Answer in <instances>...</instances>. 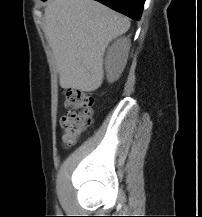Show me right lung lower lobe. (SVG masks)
Returning a JSON list of instances; mask_svg holds the SVG:
<instances>
[{
    "label": "right lung lower lobe",
    "mask_w": 202,
    "mask_h": 217,
    "mask_svg": "<svg viewBox=\"0 0 202 217\" xmlns=\"http://www.w3.org/2000/svg\"><path fill=\"white\" fill-rule=\"evenodd\" d=\"M108 7L127 15L128 17L139 20L143 11L145 0H96Z\"/></svg>",
    "instance_id": "1"
}]
</instances>
